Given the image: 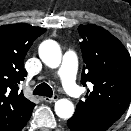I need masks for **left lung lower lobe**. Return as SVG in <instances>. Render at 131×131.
Returning a JSON list of instances; mask_svg holds the SVG:
<instances>
[{"mask_svg":"<svg viewBox=\"0 0 131 131\" xmlns=\"http://www.w3.org/2000/svg\"><path fill=\"white\" fill-rule=\"evenodd\" d=\"M67 124L71 131H100L94 128L87 120L77 115H73Z\"/></svg>","mask_w":131,"mask_h":131,"instance_id":"obj_1","label":"left lung lower lobe"}]
</instances>
